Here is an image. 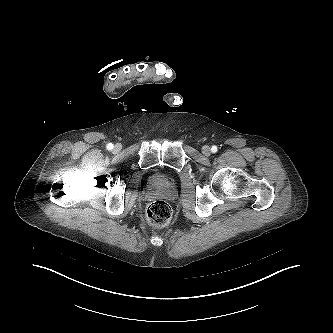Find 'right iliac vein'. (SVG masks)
Here are the masks:
<instances>
[{"instance_id": "right-iliac-vein-1", "label": "right iliac vein", "mask_w": 333, "mask_h": 333, "mask_svg": "<svg viewBox=\"0 0 333 333\" xmlns=\"http://www.w3.org/2000/svg\"><path fill=\"white\" fill-rule=\"evenodd\" d=\"M121 150V146L119 145V144H116L115 146H114V151L115 152H118V151H120Z\"/></svg>"}]
</instances>
